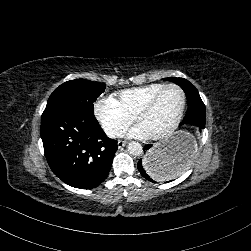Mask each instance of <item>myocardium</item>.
<instances>
[{"label":"myocardium","instance_id":"f54148a6","mask_svg":"<svg viewBox=\"0 0 251 251\" xmlns=\"http://www.w3.org/2000/svg\"><path fill=\"white\" fill-rule=\"evenodd\" d=\"M169 89H177L178 91H180L182 93L183 105H182V109H181V112H180L178 119L172 125L168 126L167 128H165V129L161 130L160 132H158L157 134H155V136L157 138H164V137L174 133L182 125L183 120L185 118L186 111H187V107H188V94H187L186 90L177 84H167L163 88H161L159 91H157L136 112V116H137V114L140 112L151 110L155 106V104L157 103L159 98L162 96V94Z\"/></svg>","mask_w":251,"mask_h":251}]
</instances>
